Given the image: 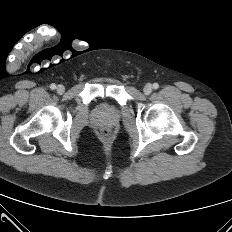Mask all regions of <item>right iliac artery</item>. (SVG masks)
<instances>
[{
  "label": "right iliac artery",
  "mask_w": 232,
  "mask_h": 232,
  "mask_svg": "<svg viewBox=\"0 0 232 232\" xmlns=\"http://www.w3.org/2000/svg\"><path fill=\"white\" fill-rule=\"evenodd\" d=\"M50 88H51L52 90H54V89H56V85H55V84H51V85H50Z\"/></svg>",
  "instance_id": "right-iliac-artery-1"
}]
</instances>
